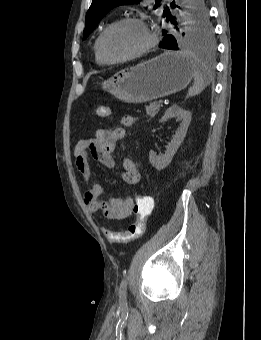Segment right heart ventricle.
Listing matches in <instances>:
<instances>
[{
	"label": "right heart ventricle",
	"instance_id": "obj_1",
	"mask_svg": "<svg viewBox=\"0 0 261 340\" xmlns=\"http://www.w3.org/2000/svg\"><path fill=\"white\" fill-rule=\"evenodd\" d=\"M98 38L95 40L94 42V46H93V50H94V54H95V60L99 65H107L110 62L106 61L99 53L98 48H97V42H98Z\"/></svg>",
	"mask_w": 261,
	"mask_h": 340
}]
</instances>
